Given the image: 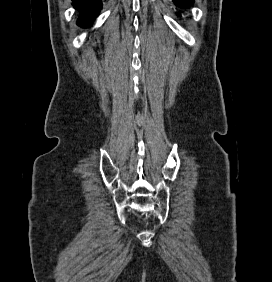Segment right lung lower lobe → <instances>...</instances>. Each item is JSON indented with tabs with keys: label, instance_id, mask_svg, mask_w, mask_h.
I'll list each match as a JSON object with an SVG mask.
<instances>
[{
	"label": "right lung lower lobe",
	"instance_id": "obj_1",
	"mask_svg": "<svg viewBox=\"0 0 272 282\" xmlns=\"http://www.w3.org/2000/svg\"><path fill=\"white\" fill-rule=\"evenodd\" d=\"M73 5L81 12L77 24L89 27L101 9V0H73Z\"/></svg>",
	"mask_w": 272,
	"mask_h": 282
}]
</instances>
